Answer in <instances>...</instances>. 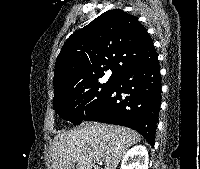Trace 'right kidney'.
<instances>
[{"label": "right kidney", "instance_id": "obj_1", "mask_svg": "<svg viewBox=\"0 0 200 169\" xmlns=\"http://www.w3.org/2000/svg\"><path fill=\"white\" fill-rule=\"evenodd\" d=\"M121 169H148V151L137 145L128 150L122 159Z\"/></svg>", "mask_w": 200, "mask_h": 169}]
</instances>
